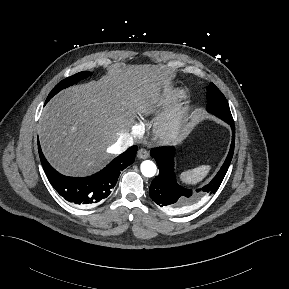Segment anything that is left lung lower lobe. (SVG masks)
I'll use <instances>...</instances> for the list:
<instances>
[{
    "label": "left lung lower lobe",
    "mask_w": 289,
    "mask_h": 289,
    "mask_svg": "<svg viewBox=\"0 0 289 289\" xmlns=\"http://www.w3.org/2000/svg\"><path fill=\"white\" fill-rule=\"evenodd\" d=\"M232 128V143L227 158L212 181L196 192L180 186L174 173V147L153 149L151 156L159 167L157 175L150 186L149 194L152 200L162 209L168 212L184 211L190 208L203 196L215 193L221 185L233 157L235 145L234 121L224 120Z\"/></svg>",
    "instance_id": "obj_1"
}]
</instances>
